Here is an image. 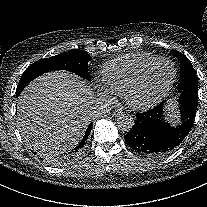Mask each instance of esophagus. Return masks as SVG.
<instances>
[{"label":"esophagus","mask_w":207,"mask_h":207,"mask_svg":"<svg viewBox=\"0 0 207 207\" xmlns=\"http://www.w3.org/2000/svg\"><path fill=\"white\" fill-rule=\"evenodd\" d=\"M111 114H112V116L117 117V116L123 114V110H122V109H119V108H116V109H114V110L112 111Z\"/></svg>","instance_id":"obj_1"}]
</instances>
